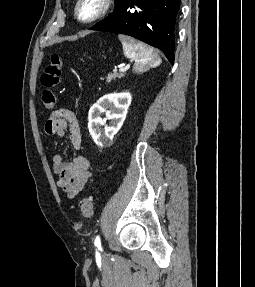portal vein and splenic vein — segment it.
I'll return each instance as SVG.
<instances>
[{
    "instance_id": "1",
    "label": "portal vein and splenic vein",
    "mask_w": 255,
    "mask_h": 287,
    "mask_svg": "<svg viewBox=\"0 0 255 287\" xmlns=\"http://www.w3.org/2000/svg\"><path fill=\"white\" fill-rule=\"evenodd\" d=\"M129 68L130 66H125V64H121V66H119V72H127Z\"/></svg>"
}]
</instances>
